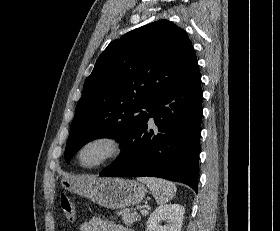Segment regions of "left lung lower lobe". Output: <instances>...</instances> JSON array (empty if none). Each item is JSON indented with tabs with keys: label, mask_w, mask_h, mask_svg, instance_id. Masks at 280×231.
<instances>
[{
	"label": "left lung lower lobe",
	"mask_w": 280,
	"mask_h": 231,
	"mask_svg": "<svg viewBox=\"0 0 280 231\" xmlns=\"http://www.w3.org/2000/svg\"><path fill=\"white\" fill-rule=\"evenodd\" d=\"M152 117L157 131L147 132ZM202 120L199 69L161 95L120 144L121 155L99 173L109 177L151 176L181 182L197 193Z\"/></svg>",
	"instance_id": "1"
}]
</instances>
